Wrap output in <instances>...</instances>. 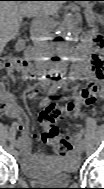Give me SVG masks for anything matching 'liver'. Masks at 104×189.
I'll list each match as a JSON object with an SVG mask.
<instances>
[{
    "instance_id": "obj_1",
    "label": "liver",
    "mask_w": 104,
    "mask_h": 189,
    "mask_svg": "<svg viewBox=\"0 0 104 189\" xmlns=\"http://www.w3.org/2000/svg\"><path fill=\"white\" fill-rule=\"evenodd\" d=\"M58 2L38 1H1L0 3V44L3 48L13 39L18 31L22 18L34 16L38 12L54 13L58 9Z\"/></svg>"
}]
</instances>
